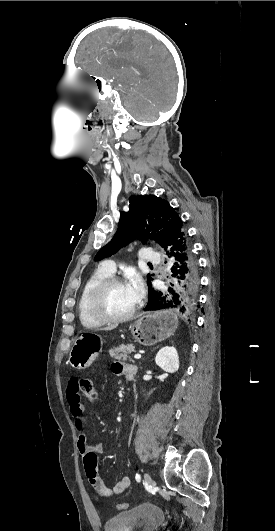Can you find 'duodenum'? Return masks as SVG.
<instances>
[{
	"label": "duodenum",
	"mask_w": 275,
	"mask_h": 531,
	"mask_svg": "<svg viewBox=\"0 0 275 531\" xmlns=\"http://www.w3.org/2000/svg\"><path fill=\"white\" fill-rule=\"evenodd\" d=\"M134 376H135V375H133V374H128V375H127V378H128L129 380H131V379L134 378Z\"/></svg>",
	"instance_id": "obj_1"
}]
</instances>
